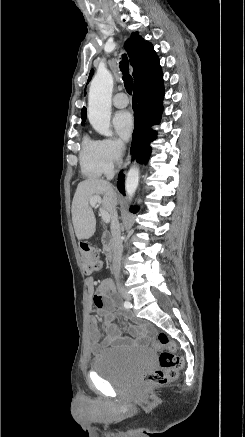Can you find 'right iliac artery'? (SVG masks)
<instances>
[{
    "label": "right iliac artery",
    "instance_id": "1",
    "mask_svg": "<svg viewBox=\"0 0 245 437\" xmlns=\"http://www.w3.org/2000/svg\"><path fill=\"white\" fill-rule=\"evenodd\" d=\"M124 307H125V308H130V307H131L130 302L125 301V302H124Z\"/></svg>",
    "mask_w": 245,
    "mask_h": 437
}]
</instances>
